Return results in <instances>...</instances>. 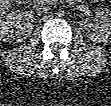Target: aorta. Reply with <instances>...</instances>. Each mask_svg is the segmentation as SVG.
I'll use <instances>...</instances> for the list:
<instances>
[{"mask_svg": "<svg viewBox=\"0 0 111 106\" xmlns=\"http://www.w3.org/2000/svg\"><path fill=\"white\" fill-rule=\"evenodd\" d=\"M56 15L59 16V17L63 16L64 15V10L63 9H57Z\"/></svg>", "mask_w": 111, "mask_h": 106, "instance_id": "aorta-1", "label": "aorta"}]
</instances>
